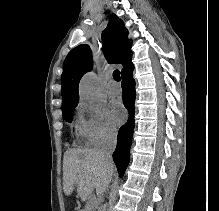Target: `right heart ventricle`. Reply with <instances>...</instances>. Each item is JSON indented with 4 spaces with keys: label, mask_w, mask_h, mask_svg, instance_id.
Masks as SVG:
<instances>
[{
    "label": "right heart ventricle",
    "mask_w": 219,
    "mask_h": 211,
    "mask_svg": "<svg viewBox=\"0 0 219 211\" xmlns=\"http://www.w3.org/2000/svg\"><path fill=\"white\" fill-rule=\"evenodd\" d=\"M77 130L81 133L80 122L77 123Z\"/></svg>",
    "instance_id": "e07e8e85"
}]
</instances>
